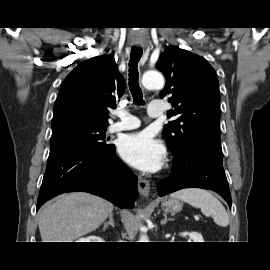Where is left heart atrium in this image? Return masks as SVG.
I'll return each instance as SVG.
<instances>
[{
    "label": "left heart atrium",
    "instance_id": "obj_1",
    "mask_svg": "<svg viewBox=\"0 0 270 270\" xmlns=\"http://www.w3.org/2000/svg\"><path fill=\"white\" fill-rule=\"evenodd\" d=\"M119 153L131 166L144 172H156L161 169L165 148L147 132L124 136L119 142Z\"/></svg>",
    "mask_w": 270,
    "mask_h": 270
}]
</instances>
